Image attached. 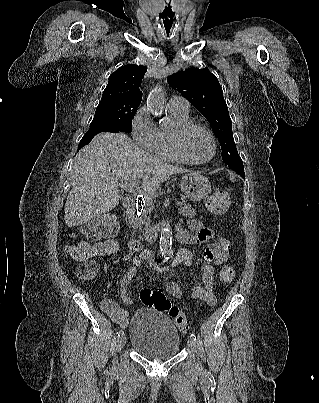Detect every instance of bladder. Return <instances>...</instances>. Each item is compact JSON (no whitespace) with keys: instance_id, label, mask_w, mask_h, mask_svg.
Segmentation results:
<instances>
[{"instance_id":"bladder-1","label":"bladder","mask_w":319,"mask_h":403,"mask_svg":"<svg viewBox=\"0 0 319 403\" xmlns=\"http://www.w3.org/2000/svg\"><path fill=\"white\" fill-rule=\"evenodd\" d=\"M129 342L140 356L153 361L174 357L180 349L181 337L172 319L164 313L142 308L128 323Z\"/></svg>"}]
</instances>
